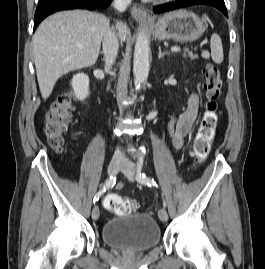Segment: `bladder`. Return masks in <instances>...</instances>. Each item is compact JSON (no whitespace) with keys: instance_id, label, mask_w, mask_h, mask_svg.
Wrapping results in <instances>:
<instances>
[{"instance_id":"31cf9c89","label":"bladder","mask_w":265,"mask_h":269,"mask_svg":"<svg viewBox=\"0 0 265 269\" xmlns=\"http://www.w3.org/2000/svg\"><path fill=\"white\" fill-rule=\"evenodd\" d=\"M102 239L109 246L124 251H147L160 242V229L148 214L122 215L108 221Z\"/></svg>"}]
</instances>
